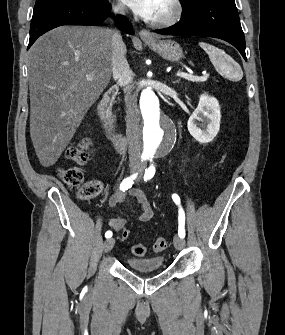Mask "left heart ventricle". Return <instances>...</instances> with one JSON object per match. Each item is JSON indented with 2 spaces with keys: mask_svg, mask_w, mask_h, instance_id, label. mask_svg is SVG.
<instances>
[{
  "mask_svg": "<svg viewBox=\"0 0 285 335\" xmlns=\"http://www.w3.org/2000/svg\"><path fill=\"white\" fill-rule=\"evenodd\" d=\"M158 11L156 15V20L164 16L166 13V1H157Z\"/></svg>",
  "mask_w": 285,
  "mask_h": 335,
  "instance_id": "b2bd125f",
  "label": "left heart ventricle"
}]
</instances>
